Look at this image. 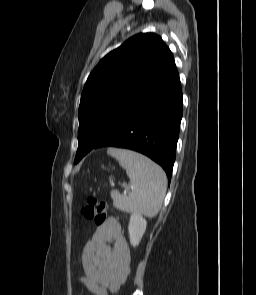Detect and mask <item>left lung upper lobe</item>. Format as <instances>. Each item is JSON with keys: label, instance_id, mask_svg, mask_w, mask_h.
I'll list each match as a JSON object with an SVG mask.
<instances>
[{"label": "left lung upper lobe", "instance_id": "left-lung-upper-lobe-1", "mask_svg": "<svg viewBox=\"0 0 256 295\" xmlns=\"http://www.w3.org/2000/svg\"><path fill=\"white\" fill-rule=\"evenodd\" d=\"M177 72L173 55L153 33H140L107 54L90 73L78 111L75 163Z\"/></svg>", "mask_w": 256, "mask_h": 295}]
</instances>
